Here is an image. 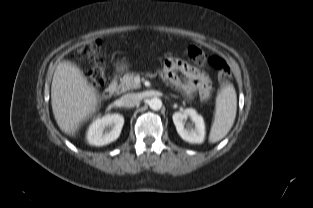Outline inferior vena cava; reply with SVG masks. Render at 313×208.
<instances>
[{
	"mask_svg": "<svg viewBox=\"0 0 313 208\" xmlns=\"http://www.w3.org/2000/svg\"><path fill=\"white\" fill-rule=\"evenodd\" d=\"M122 106L131 108L136 106L140 102V98L135 93H128L121 97L120 99Z\"/></svg>",
	"mask_w": 313,
	"mask_h": 208,
	"instance_id": "602c4592",
	"label": "inferior vena cava"
}]
</instances>
